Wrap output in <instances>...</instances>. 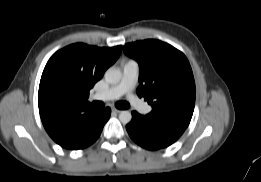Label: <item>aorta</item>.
<instances>
[{
    "instance_id": "aorta-1",
    "label": "aorta",
    "mask_w": 261,
    "mask_h": 182,
    "mask_svg": "<svg viewBox=\"0 0 261 182\" xmlns=\"http://www.w3.org/2000/svg\"><path fill=\"white\" fill-rule=\"evenodd\" d=\"M122 77V74L120 70L115 69V68H110L106 71L105 73V80L109 84H117L120 82ZM132 115L129 111H121L119 114V120L123 124H127L131 121Z\"/></svg>"
}]
</instances>
